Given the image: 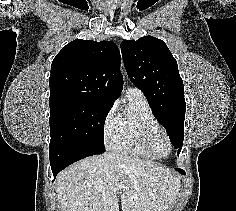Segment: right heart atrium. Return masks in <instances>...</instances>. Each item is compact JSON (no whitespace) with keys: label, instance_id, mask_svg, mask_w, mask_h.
I'll use <instances>...</instances> for the list:
<instances>
[{"label":"right heart atrium","instance_id":"obj_1","mask_svg":"<svg viewBox=\"0 0 236 211\" xmlns=\"http://www.w3.org/2000/svg\"><path fill=\"white\" fill-rule=\"evenodd\" d=\"M117 122V109L116 106H111L108 111L105 113L101 125L103 141L105 144H109Z\"/></svg>","mask_w":236,"mask_h":211}]
</instances>
